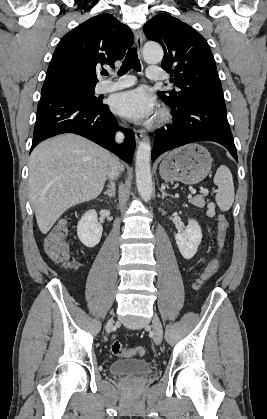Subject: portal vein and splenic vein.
<instances>
[{
	"mask_svg": "<svg viewBox=\"0 0 267 419\" xmlns=\"http://www.w3.org/2000/svg\"><path fill=\"white\" fill-rule=\"evenodd\" d=\"M196 193V190H192L191 191V194H195ZM200 193H203V194H208L209 193V191L207 190V189H205V188H201L200 189Z\"/></svg>",
	"mask_w": 267,
	"mask_h": 419,
	"instance_id": "obj_1",
	"label": "portal vein and splenic vein"
}]
</instances>
